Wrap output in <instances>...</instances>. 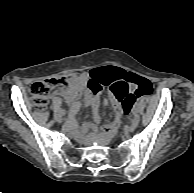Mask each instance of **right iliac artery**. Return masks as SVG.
<instances>
[{"mask_svg":"<svg viewBox=\"0 0 194 193\" xmlns=\"http://www.w3.org/2000/svg\"><path fill=\"white\" fill-rule=\"evenodd\" d=\"M74 114H72L71 112L68 114V116L65 118V120H67V121H71V120H73L74 119Z\"/></svg>","mask_w":194,"mask_h":193,"instance_id":"1","label":"right iliac artery"}]
</instances>
